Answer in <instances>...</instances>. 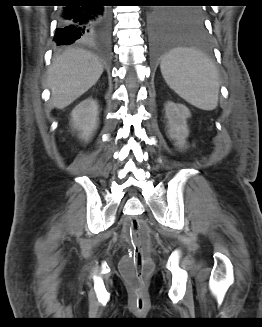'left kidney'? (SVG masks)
Wrapping results in <instances>:
<instances>
[{"label":"left kidney","mask_w":262,"mask_h":327,"mask_svg":"<svg viewBox=\"0 0 262 327\" xmlns=\"http://www.w3.org/2000/svg\"><path fill=\"white\" fill-rule=\"evenodd\" d=\"M166 118L168 120V134L175 141V146L180 149L186 146V138L189 135L187 118L191 116L190 110L183 104L167 102L165 105Z\"/></svg>","instance_id":"left-kidney-1"}]
</instances>
